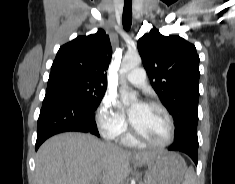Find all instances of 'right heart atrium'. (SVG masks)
<instances>
[{"mask_svg": "<svg viewBox=\"0 0 235 184\" xmlns=\"http://www.w3.org/2000/svg\"><path fill=\"white\" fill-rule=\"evenodd\" d=\"M95 122L100 133L109 139L121 137L127 128L126 116L112 95H106L95 113Z\"/></svg>", "mask_w": 235, "mask_h": 184, "instance_id": "1", "label": "right heart atrium"}]
</instances>
